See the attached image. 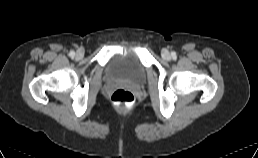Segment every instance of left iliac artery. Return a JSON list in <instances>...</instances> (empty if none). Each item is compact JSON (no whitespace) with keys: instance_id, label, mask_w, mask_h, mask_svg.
<instances>
[{"instance_id":"44dca946","label":"left iliac artery","mask_w":258,"mask_h":158,"mask_svg":"<svg viewBox=\"0 0 258 158\" xmlns=\"http://www.w3.org/2000/svg\"><path fill=\"white\" fill-rule=\"evenodd\" d=\"M171 55H172L173 58H176V53L175 52H172Z\"/></svg>"}]
</instances>
